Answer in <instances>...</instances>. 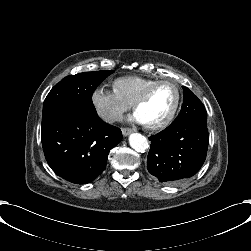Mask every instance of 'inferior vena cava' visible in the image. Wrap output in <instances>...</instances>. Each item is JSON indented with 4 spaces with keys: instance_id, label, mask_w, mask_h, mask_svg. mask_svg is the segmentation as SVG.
Returning a JSON list of instances; mask_svg holds the SVG:
<instances>
[{
    "instance_id": "inferior-vena-cava-1",
    "label": "inferior vena cava",
    "mask_w": 251,
    "mask_h": 251,
    "mask_svg": "<svg viewBox=\"0 0 251 251\" xmlns=\"http://www.w3.org/2000/svg\"><path fill=\"white\" fill-rule=\"evenodd\" d=\"M102 118L104 121H106L108 123H112L115 121H122L123 115L119 112H111V113H107V114L103 115Z\"/></svg>"
}]
</instances>
